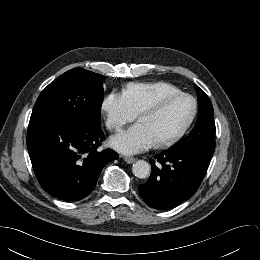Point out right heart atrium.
<instances>
[{
  "instance_id": "1",
  "label": "right heart atrium",
  "mask_w": 260,
  "mask_h": 260,
  "mask_svg": "<svg viewBox=\"0 0 260 260\" xmlns=\"http://www.w3.org/2000/svg\"><path fill=\"white\" fill-rule=\"evenodd\" d=\"M102 115L106 127L116 133H120L123 127L135 118V113L123 94L117 92H111L104 98Z\"/></svg>"
}]
</instances>
